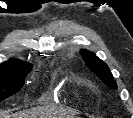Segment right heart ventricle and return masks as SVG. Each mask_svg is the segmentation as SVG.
Here are the masks:
<instances>
[{
  "label": "right heart ventricle",
  "instance_id": "1",
  "mask_svg": "<svg viewBox=\"0 0 133 118\" xmlns=\"http://www.w3.org/2000/svg\"><path fill=\"white\" fill-rule=\"evenodd\" d=\"M74 95H75L77 98H80V96H81L78 90H75V91H74Z\"/></svg>",
  "mask_w": 133,
  "mask_h": 118
}]
</instances>
